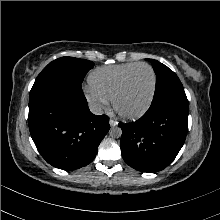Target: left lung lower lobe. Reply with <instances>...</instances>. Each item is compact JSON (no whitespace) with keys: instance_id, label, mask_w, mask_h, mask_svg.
Listing matches in <instances>:
<instances>
[{"instance_id":"obj_1","label":"left lung lower lobe","mask_w":220,"mask_h":220,"mask_svg":"<svg viewBox=\"0 0 220 220\" xmlns=\"http://www.w3.org/2000/svg\"><path fill=\"white\" fill-rule=\"evenodd\" d=\"M124 161L141 172L166 168L184 144L188 111L172 105L149 108L137 121L119 123Z\"/></svg>"}]
</instances>
